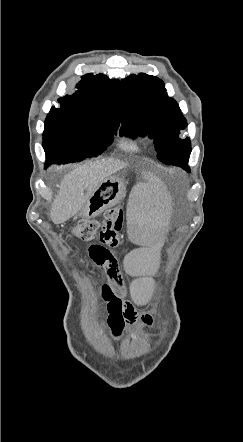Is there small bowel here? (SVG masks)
<instances>
[{"mask_svg":"<svg viewBox=\"0 0 243 442\" xmlns=\"http://www.w3.org/2000/svg\"><path fill=\"white\" fill-rule=\"evenodd\" d=\"M93 261L105 270L109 278L108 283L101 287V294L106 302L107 320L113 336L119 339L126 324L138 323L139 328L151 325L153 319L150 314L139 317L133 306L128 301L123 300L126 290L117 258L115 257L112 262L105 265L96 260Z\"/></svg>","mask_w":243,"mask_h":442,"instance_id":"obj_1","label":"small bowel"}]
</instances>
